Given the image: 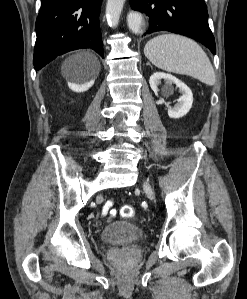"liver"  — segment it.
<instances>
[{"label":"liver","mask_w":247,"mask_h":299,"mask_svg":"<svg viewBox=\"0 0 247 299\" xmlns=\"http://www.w3.org/2000/svg\"><path fill=\"white\" fill-rule=\"evenodd\" d=\"M73 60L87 63L93 71L92 75L93 76L98 75L100 71V63L97 57L93 53L88 51L79 52L76 55H74Z\"/></svg>","instance_id":"1"}]
</instances>
